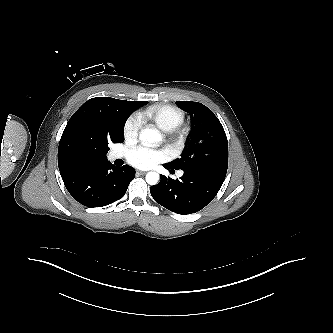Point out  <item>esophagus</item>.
<instances>
[{
	"instance_id": "34e87169",
	"label": "esophagus",
	"mask_w": 333,
	"mask_h": 333,
	"mask_svg": "<svg viewBox=\"0 0 333 333\" xmlns=\"http://www.w3.org/2000/svg\"><path fill=\"white\" fill-rule=\"evenodd\" d=\"M146 172H144V171H139V170H137L136 171V176H140V175H144Z\"/></svg>"
}]
</instances>
